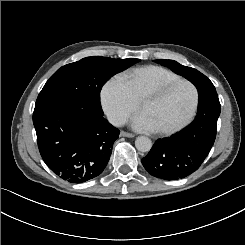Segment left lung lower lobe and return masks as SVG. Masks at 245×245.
<instances>
[{
  "label": "left lung lower lobe",
  "instance_id": "1",
  "mask_svg": "<svg viewBox=\"0 0 245 245\" xmlns=\"http://www.w3.org/2000/svg\"><path fill=\"white\" fill-rule=\"evenodd\" d=\"M199 93L198 114L182 131L158 139L141 162L152 176L178 180L195 172L208 156L215 138L220 102L210 80L196 85Z\"/></svg>",
  "mask_w": 245,
  "mask_h": 245
}]
</instances>
